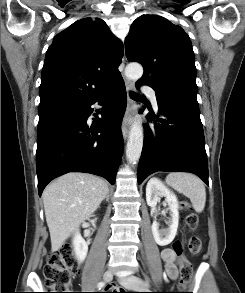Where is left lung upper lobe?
<instances>
[{"instance_id":"5c2ea615","label":"left lung upper lobe","mask_w":245,"mask_h":293,"mask_svg":"<svg viewBox=\"0 0 245 293\" xmlns=\"http://www.w3.org/2000/svg\"><path fill=\"white\" fill-rule=\"evenodd\" d=\"M125 51L130 62L143 66L138 82L152 87L158 100L198 108L194 52L180 26L160 16L142 15L131 25Z\"/></svg>"}]
</instances>
